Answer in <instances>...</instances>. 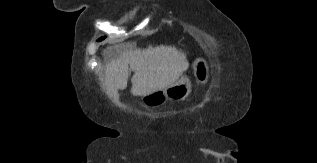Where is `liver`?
Returning a JSON list of instances; mask_svg holds the SVG:
<instances>
[{
	"mask_svg": "<svg viewBox=\"0 0 317 163\" xmlns=\"http://www.w3.org/2000/svg\"><path fill=\"white\" fill-rule=\"evenodd\" d=\"M129 67L134 72L131 93L142 97L177 82L188 69V61L184 52L164 45L130 50L111 59L106 63L102 88L115 103L118 90L127 87Z\"/></svg>",
	"mask_w": 317,
	"mask_h": 163,
	"instance_id": "6515ba94",
	"label": "liver"
}]
</instances>
